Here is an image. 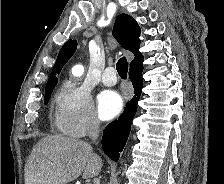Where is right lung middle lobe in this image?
Here are the masks:
<instances>
[{
  "instance_id": "1",
  "label": "right lung middle lobe",
  "mask_w": 224,
  "mask_h": 184,
  "mask_svg": "<svg viewBox=\"0 0 224 184\" xmlns=\"http://www.w3.org/2000/svg\"><path fill=\"white\" fill-rule=\"evenodd\" d=\"M53 90H49V91H46L45 92V97H44V103L47 104L49 98H50V95L52 93Z\"/></svg>"
}]
</instances>
